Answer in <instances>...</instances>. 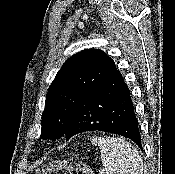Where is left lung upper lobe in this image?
<instances>
[{"label": "left lung upper lobe", "instance_id": "left-lung-upper-lobe-1", "mask_svg": "<svg viewBox=\"0 0 175 174\" xmlns=\"http://www.w3.org/2000/svg\"><path fill=\"white\" fill-rule=\"evenodd\" d=\"M115 70L114 61L99 49H87L69 58L48 89L41 139L64 136L82 97Z\"/></svg>", "mask_w": 175, "mask_h": 174}]
</instances>
